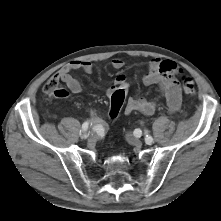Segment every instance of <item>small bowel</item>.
Listing matches in <instances>:
<instances>
[{
    "label": "small bowel",
    "instance_id": "small-bowel-1",
    "mask_svg": "<svg viewBox=\"0 0 221 221\" xmlns=\"http://www.w3.org/2000/svg\"><path fill=\"white\" fill-rule=\"evenodd\" d=\"M110 64L116 70L124 67V61L119 58L113 59ZM75 70L92 74L94 65L88 60H76L62 67L53 77L59 82L64 83L70 92L77 94L82 91V85L71 74ZM178 73L179 68L171 60L154 58L149 62L148 72L143 77V83L146 86L159 87L170 113H176L180 109L182 102L181 87L175 77ZM117 88H124L126 93L128 92L129 84L126 75L118 74L115 77L113 85L106 91L107 95L110 96ZM156 106L157 103L155 100H148L141 96H131L127 100L125 112L127 114L140 112L144 115H152L156 110Z\"/></svg>",
    "mask_w": 221,
    "mask_h": 221
}]
</instances>
